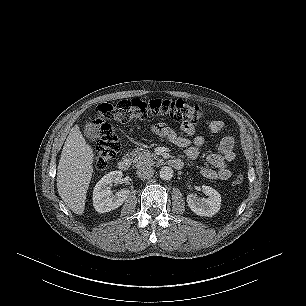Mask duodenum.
Wrapping results in <instances>:
<instances>
[{
  "label": "duodenum",
  "instance_id": "410a0bca",
  "mask_svg": "<svg viewBox=\"0 0 306 306\" xmlns=\"http://www.w3.org/2000/svg\"><path fill=\"white\" fill-rule=\"evenodd\" d=\"M169 164L175 169H180L182 167L181 162L177 159L170 160ZM130 165H131V160L128 156L122 157L118 162V168L122 171L128 170Z\"/></svg>",
  "mask_w": 306,
  "mask_h": 306
}]
</instances>
